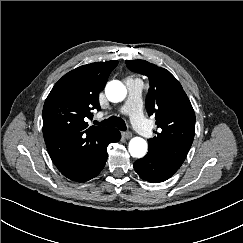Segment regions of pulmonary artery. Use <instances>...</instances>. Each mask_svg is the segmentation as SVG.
<instances>
[{"label":"pulmonary artery","mask_w":243,"mask_h":243,"mask_svg":"<svg viewBox=\"0 0 243 243\" xmlns=\"http://www.w3.org/2000/svg\"><path fill=\"white\" fill-rule=\"evenodd\" d=\"M128 98L120 109V112L130 116L133 126L145 138L152 135L149 124L143 117L141 110V93L143 84L139 80L128 79L126 81Z\"/></svg>","instance_id":"1"}]
</instances>
